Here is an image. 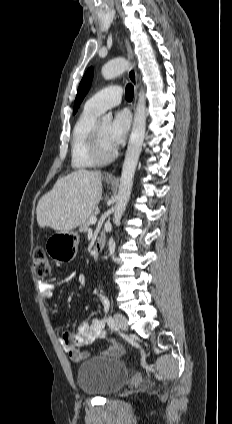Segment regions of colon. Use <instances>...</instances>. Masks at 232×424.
Listing matches in <instances>:
<instances>
[{"mask_svg":"<svg viewBox=\"0 0 232 424\" xmlns=\"http://www.w3.org/2000/svg\"><path fill=\"white\" fill-rule=\"evenodd\" d=\"M33 268L35 275L39 278H50L52 276V266L42 248H37L33 253ZM107 343L111 344L117 352L124 353L125 349L114 337L107 338Z\"/></svg>","mask_w":232,"mask_h":424,"instance_id":"1","label":"colon"}]
</instances>
